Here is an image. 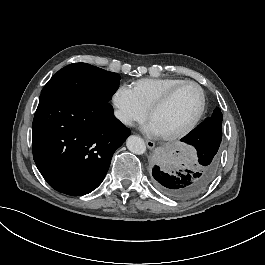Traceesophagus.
I'll use <instances>...</instances> for the list:
<instances>
[{"mask_svg": "<svg viewBox=\"0 0 265 265\" xmlns=\"http://www.w3.org/2000/svg\"><path fill=\"white\" fill-rule=\"evenodd\" d=\"M145 142H146L148 149L152 150L155 147V143L153 141L146 139Z\"/></svg>", "mask_w": 265, "mask_h": 265, "instance_id": "obj_1", "label": "esophagus"}]
</instances>
